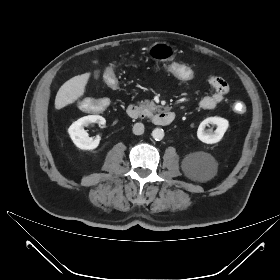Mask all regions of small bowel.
<instances>
[{
  "mask_svg": "<svg viewBox=\"0 0 280 280\" xmlns=\"http://www.w3.org/2000/svg\"><path fill=\"white\" fill-rule=\"evenodd\" d=\"M208 83L213 88L214 92L210 95L204 96L200 100L199 106L204 110L214 109L224 100L226 94L228 93V85L222 78L211 75L208 78Z\"/></svg>",
  "mask_w": 280,
  "mask_h": 280,
  "instance_id": "c3829d8e",
  "label": "small bowel"
}]
</instances>
